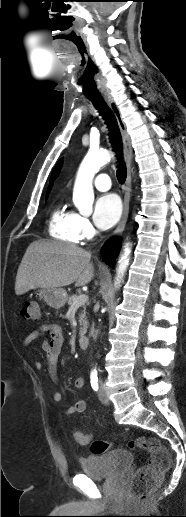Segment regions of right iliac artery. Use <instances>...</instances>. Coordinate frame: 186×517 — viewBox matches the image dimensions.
<instances>
[{
	"instance_id": "obj_1",
	"label": "right iliac artery",
	"mask_w": 186,
	"mask_h": 517,
	"mask_svg": "<svg viewBox=\"0 0 186 517\" xmlns=\"http://www.w3.org/2000/svg\"><path fill=\"white\" fill-rule=\"evenodd\" d=\"M90 382L92 388L97 391L98 390V374L97 371H92L90 375Z\"/></svg>"
}]
</instances>
